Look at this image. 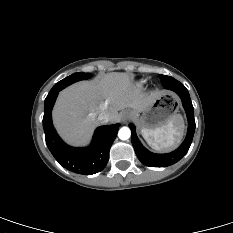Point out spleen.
<instances>
[{
	"instance_id": "3e777b00",
	"label": "spleen",
	"mask_w": 233,
	"mask_h": 233,
	"mask_svg": "<svg viewBox=\"0 0 233 233\" xmlns=\"http://www.w3.org/2000/svg\"><path fill=\"white\" fill-rule=\"evenodd\" d=\"M183 119L180 115H173L164 126L155 129H142V136L154 150L162 151L174 147L183 133Z\"/></svg>"
}]
</instances>
